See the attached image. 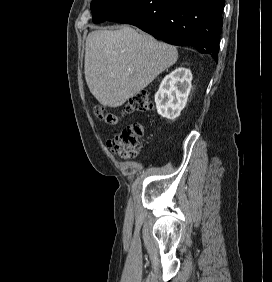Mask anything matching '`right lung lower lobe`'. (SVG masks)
I'll use <instances>...</instances> for the list:
<instances>
[{
	"label": "right lung lower lobe",
	"instance_id": "right-lung-lower-lobe-1",
	"mask_svg": "<svg viewBox=\"0 0 272 282\" xmlns=\"http://www.w3.org/2000/svg\"><path fill=\"white\" fill-rule=\"evenodd\" d=\"M225 0H136L108 21L132 24L173 45H190L217 62Z\"/></svg>",
	"mask_w": 272,
	"mask_h": 282
}]
</instances>
